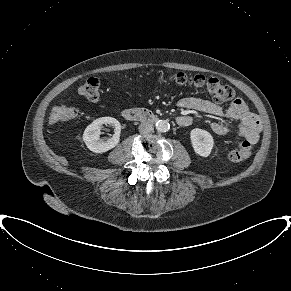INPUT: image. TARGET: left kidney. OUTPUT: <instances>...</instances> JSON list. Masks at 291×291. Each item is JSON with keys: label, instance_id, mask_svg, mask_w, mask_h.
I'll use <instances>...</instances> for the list:
<instances>
[{"label": "left kidney", "instance_id": "left-kidney-1", "mask_svg": "<svg viewBox=\"0 0 291 291\" xmlns=\"http://www.w3.org/2000/svg\"><path fill=\"white\" fill-rule=\"evenodd\" d=\"M190 140L193 150L202 157H208L213 149L214 140L206 130L195 128L190 132Z\"/></svg>", "mask_w": 291, "mask_h": 291}]
</instances>
